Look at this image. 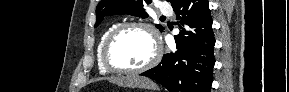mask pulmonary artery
<instances>
[{"label": "pulmonary artery", "instance_id": "obj_1", "mask_svg": "<svg viewBox=\"0 0 289 92\" xmlns=\"http://www.w3.org/2000/svg\"><path fill=\"white\" fill-rule=\"evenodd\" d=\"M160 11L161 13L166 14V15L172 14V9L168 5H161Z\"/></svg>", "mask_w": 289, "mask_h": 92}]
</instances>
